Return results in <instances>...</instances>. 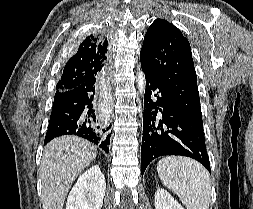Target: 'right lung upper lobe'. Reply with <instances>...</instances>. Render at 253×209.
<instances>
[{
    "label": "right lung upper lobe",
    "instance_id": "1",
    "mask_svg": "<svg viewBox=\"0 0 253 209\" xmlns=\"http://www.w3.org/2000/svg\"><path fill=\"white\" fill-rule=\"evenodd\" d=\"M108 41L103 35H90L79 45L77 53L66 63L56 93L73 89L93 78L102 70Z\"/></svg>",
    "mask_w": 253,
    "mask_h": 209
}]
</instances>
